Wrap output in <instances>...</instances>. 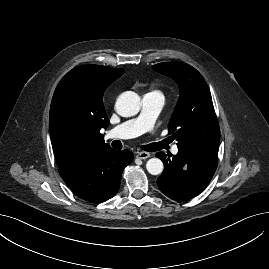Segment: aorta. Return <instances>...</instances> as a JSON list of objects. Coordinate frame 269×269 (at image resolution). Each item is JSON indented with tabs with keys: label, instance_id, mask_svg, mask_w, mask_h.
<instances>
[{
	"label": "aorta",
	"instance_id": "aorta-1",
	"mask_svg": "<svg viewBox=\"0 0 269 269\" xmlns=\"http://www.w3.org/2000/svg\"><path fill=\"white\" fill-rule=\"evenodd\" d=\"M140 107V97L137 93L132 91L122 93L116 101V111L123 117L136 115ZM146 169L152 175H159L162 173L164 165L160 159L151 158L146 163Z\"/></svg>",
	"mask_w": 269,
	"mask_h": 269
}]
</instances>
